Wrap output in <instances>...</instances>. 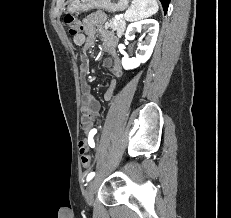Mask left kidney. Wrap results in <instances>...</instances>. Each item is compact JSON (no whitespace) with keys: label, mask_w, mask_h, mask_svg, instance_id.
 Here are the masks:
<instances>
[{"label":"left kidney","mask_w":231,"mask_h":218,"mask_svg":"<svg viewBox=\"0 0 231 218\" xmlns=\"http://www.w3.org/2000/svg\"><path fill=\"white\" fill-rule=\"evenodd\" d=\"M147 29L145 40L139 43L138 53L135 58H122V66L125 70L134 69L145 63L151 56L154 46L157 41L159 32V23L154 19H145L138 22L131 23L126 30V39H133L134 32H141L142 29Z\"/></svg>","instance_id":"obj_1"}]
</instances>
